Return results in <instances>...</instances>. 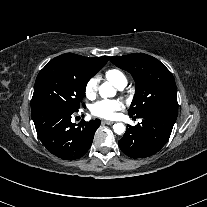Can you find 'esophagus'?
<instances>
[{
	"instance_id": "1",
	"label": "esophagus",
	"mask_w": 207,
	"mask_h": 207,
	"mask_svg": "<svg viewBox=\"0 0 207 207\" xmlns=\"http://www.w3.org/2000/svg\"><path fill=\"white\" fill-rule=\"evenodd\" d=\"M102 123H104L106 125H112V124H114L113 121H109V120H103Z\"/></svg>"
}]
</instances>
